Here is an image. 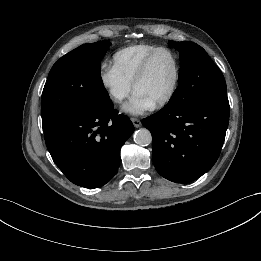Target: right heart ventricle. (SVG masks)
Returning <instances> with one entry per match:
<instances>
[{
    "mask_svg": "<svg viewBox=\"0 0 261 261\" xmlns=\"http://www.w3.org/2000/svg\"><path fill=\"white\" fill-rule=\"evenodd\" d=\"M158 46L136 44L116 51L111 59V67L131 84L144 59Z\"/></svg>",
    "mask_w": 261,
    "mask_h": 261,
    "instance_id": "obj_1",
    "label": "right heart ventricle"
}]
</instances>
